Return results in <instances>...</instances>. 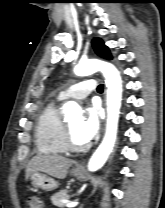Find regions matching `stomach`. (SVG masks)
Listing matches in <instances>:
<instances>
[{
	"mask_svg": "<svg viewBox=\"0 0 165 208\" xmlns=\"http://www.w3.org/2000/svg\"><path fill=\"white\" fill-rule=\"evenodd\" d=\"M71 174L77 178L82 179L84 177L83 172L80 169L73 168ZM32 185L46 192L52 191L57 188V182L51 177L41 174L39 172H32L28 175Z\"/></svg>",
	"mask_w": 165,
	"mask_h": 208,
	"instance_id": "0dacf381",
	"label": "stomach"
}]
</instances>
